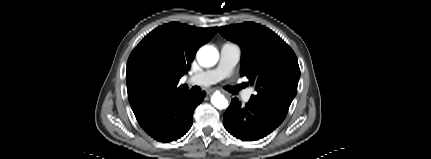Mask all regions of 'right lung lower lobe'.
I'll list each match as a JSON object with an SVG mask.
<instances>
[{
	"label": "right lung lower lobe",
	"instance_id": "obj_1",
	"mask_svg": "<svg viewBox=\"0 0 431 159\" xmlns=\"http://www.w3.org/2000/svg\"><path fill=\"white\" fill-rule=\"evenodd\" d=\"M206 93L192 94L184 91L177 97L155 108L147 116L138 120L144 131L157 141H176L187 133L193 123L194 109Z\"/></svg>",
	"mask_w": 431,
	"mask_h": 159
}]
</instances>
